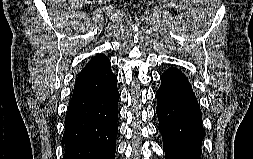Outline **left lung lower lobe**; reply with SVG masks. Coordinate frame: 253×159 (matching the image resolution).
I'll return each mask as SVG.
<instances>
[{"instance_id": "0a47b994", "label": "left lung lower lobe", "mask_w": 253, "mask_h": 159, "mask_svg": "<svg viewBox=\"0 0 253 159\" xmlns=\"http://www.w3.org/2000/svg\"><path fill=\"white\" fill-rule=\"evenodd\" d=\"M156 93L159 131L165 159H201L205 136L202 113L186 76L178 69H167Z\"/></svg>"}]
</instances>
